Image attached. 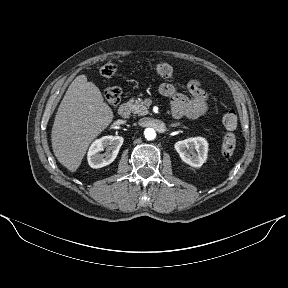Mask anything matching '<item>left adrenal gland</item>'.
Masks as SVG:
<instances>
[{
    "instance_id": "a2214340",
    "label": "left adrenal gland",
    "mask_w": 288,
    "mask_h": 288,
    "mask_svg": "<svg viewBox=\"0 0 288 288\" xmlns=\"http://www.w3.org/2000/svg\"><path fill=\"white\" fill-rule=\"evenodd\" d=\"M178 125H180V123H179V122H177V123H173V124H170V126H169V127H176V126H178Z\"/></svg>"
}]
</instances>
